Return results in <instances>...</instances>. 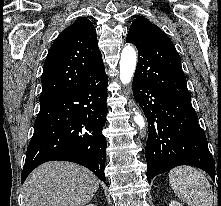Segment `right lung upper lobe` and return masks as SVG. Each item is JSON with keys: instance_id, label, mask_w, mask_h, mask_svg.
I'll return each mask as SVG.
<instances>
[{"instance_id": "right-lung-upper-lobe-1", "label": "right lung upper lobe", "mask_w": 221, "mask_h": 206, "mask_svg": "<svg viewBox=\"0 0 221 206\" xmlns=\"http://www.w3.org/2000/svg\"><path fill=\"white\" fill-rule=\"evenodd\" d=\"M105 73L94 25L86 18L63 30L51 46L42 74L40 103L78 89Z\"/></svg>"}]
</instances>
